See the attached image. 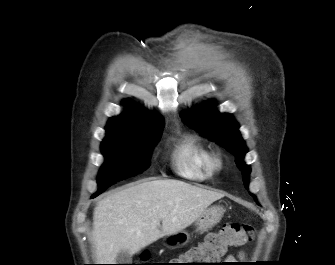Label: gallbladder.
<instances>
[{
  "label": "gallbladder",
  "mask_w": 335,
  "mask_h": 265,
  "mask_svg": "<svg viewBox=\"0 0 335 265\" xmlns=\"http://www.w3.org/2000/svg\"><path fill=\"white\" fill-rule=\"evenodd\" d=\"M132 255L127 250H121L116 256L117 264H130Z\"/></svg>",
  "instance_id": "1"
}]
</instances>
